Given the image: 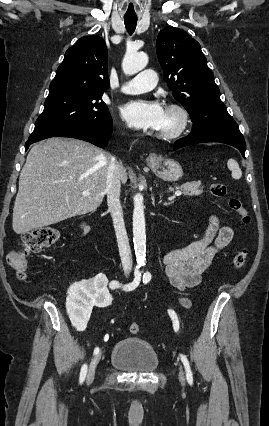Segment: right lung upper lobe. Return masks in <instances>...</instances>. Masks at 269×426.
Masks as SVG:
<instances>
[{
  "instance_id": "right-lung-upper-lobe-1",
  "label": "right lung upper lobe",
  "mask_w": 269,
  "mask_h": 426,
  "mask_svg": "<svg viewBox=\"0 0 269 426\" xmlns=\"http://www.w3.org/2000/svg\"><path fill=\"white\" fill-rule=\"evenodd\" d=\"M108 52L99 36H85L69 48L49 93L61 90L105 92L109 88L107 71Z\"/></svg>"
}]
</instances>
